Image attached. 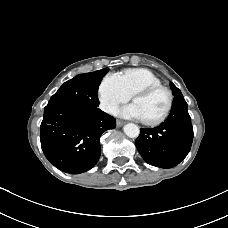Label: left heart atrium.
<instances>
[{"label":"left heart atrium","mask_w":228,"mask_h":228,"mask_svg":"<svg viewBox=\"0 0 228 228\" xmlns=\"http://www.w3.org/2000/svg\"><path fill=\"white\" fill-rule=\"evenodd\" d=\"M115 114L124 118L142 119L141 113L134 103L117 109Z\"/></svg>","instance_id":"obj_1"}]
</instances>
